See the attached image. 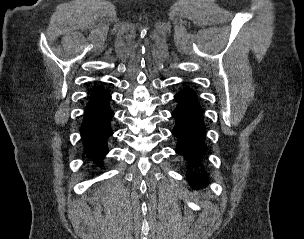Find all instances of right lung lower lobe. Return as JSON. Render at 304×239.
<instances>
[{
  "label": "right lung lower lobe",
  "mask_w": 304,
  "mask_h": 239,
  "mask_svg": "<svg viewBox=\"0 0 304 239\" xmlns=\"http://www.w3.org/2000/svg\"><path fill=\"white\" fill-rule=\"evenodd\" d=\"M110 95L98 89L88 102L81 126L85 152L89 158L100 159L108 153L107 139L113 134L110 120L114 115L109 106Z\"/></svg>",
  "instance_id": "1"
}]
</instances>
